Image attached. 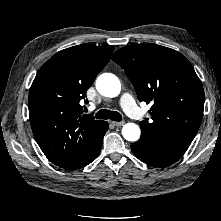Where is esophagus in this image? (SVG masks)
Returning <instances> with one entry per match:
<instances>
[{
  "instance_id": "1",
  "label": "esophagus",
  "mask_w": 221,
  "mask_h": 221,
  "mask_svg": "<svg viewBox=\"0 0 221 221\" xmlns=\"http://www.w3.org/2000/svg\"><path fill=\"white\" fill-rule=\"evenodd\" d=\"M124 123H125L124 121H120V122H115V121H113V122H112V124H113L114 126H122Z\"/></svg>"
}]
</instances>
